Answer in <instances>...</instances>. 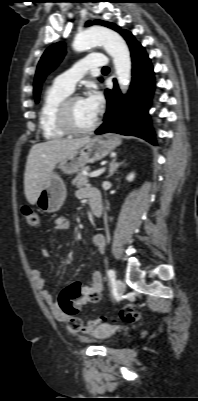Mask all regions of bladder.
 Returning <instances> with one entry per match:
<instances>
[{"mask_svg":"<svg viewBox=\"0 0 198 401\" xmlns=\"http://www.w3.org/2000/svg\"><path fill=\"white\" fill-rule=\"evenodd\" d=\"M117 331V328L113 326H106L98 330V332L95 334L97 338L105 339L109 338L112 336L115 332Z\"/></svg>","mask_w":198,"mask_h":401,"instance_id":"1","label":"bladder"}]
</instances>
